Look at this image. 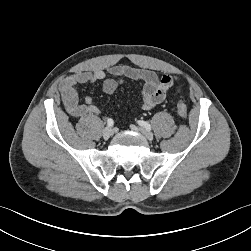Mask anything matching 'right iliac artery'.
Wrapping results in <instances>:
<instances>
[{
	"instance_id": "82829eb1",
	"label": "right iliac artery",
	"mask_w": 251,
	"mask_h": 251,
	"mask_svg": "<svg viewBox=\"0 0 251 251\" xmlns=\"http://www.w3.org/2000/svg\"><path fill=\"white\" fill-rule=\"evenodd\" d=\"M107 124H108L109 127H113V125H114L113 119L109 118V119L107 120Z\"/></svg>"
}]
</instances>
